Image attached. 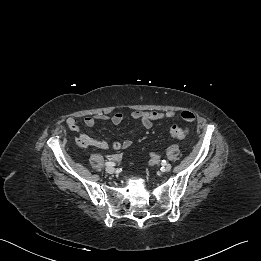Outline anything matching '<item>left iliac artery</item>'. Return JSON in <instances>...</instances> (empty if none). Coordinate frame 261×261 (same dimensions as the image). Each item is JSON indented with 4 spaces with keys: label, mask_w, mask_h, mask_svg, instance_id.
Masks as SVG:
<instances>
[{
    "label": "left iliac artery",
    "mask_w": 261,
    "mask_h": 261,
    "mask_svg": "<svg viewBox=\"0 0 261 261\" xmlns=\"http://www.w3.org/2000/svg\"><path fill=\"white\" fill-rule=\"evenodd\" d=\"M167 164L165 160H162V165H165Z\"/></svg>",
    "instance_id": "1"
}]
</instances>
